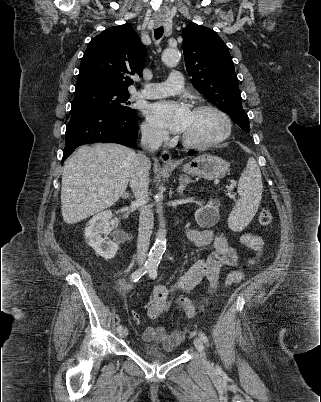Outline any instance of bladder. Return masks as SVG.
Instances as JSON below:
<instances>
[{
  "label": "bladder",
  "mask_w": 321,
  "mask_h": 402,
  "mask_svg": "<svg viewBox=\"0 0 321 402\" xmlns=\"http://www.w3.org/2000/svg\"><path fill=\"white\" fill-rule=\"evenodd\" d=\"M142 355L150 360H166L171 359L174 354L166 353L162 348L156 345L144 346L142 349Z\"/></svg>",
  "instance_id": "obj_1"
}]
</instances>
